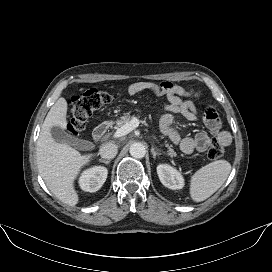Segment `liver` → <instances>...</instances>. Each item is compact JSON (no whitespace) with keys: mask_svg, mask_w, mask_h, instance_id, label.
<instances>
[{"mask_svg":"<svg viewBox=\"0 0 272 272\" xmlns=\"http://www.w3.org/2000/svg\"><path fill=\"white\" fill-rule=\"evenodd\" d=\"M67 101L59 98L48 112L42 124L37 141V166L48 189L64 204L75 206L79 197L74 181L94 155H82L67 144L56 142L51 136V128L67 125Z\"/></svg>","mask_w":272,"mask_h":272,"instance_id":"6515ba94","label":"liver"}]
</instances>
